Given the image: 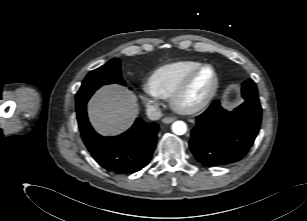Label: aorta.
Wrapping results in <instances>:
<instances>
[{
  "mask_svg": "<svg viewBox=\"0 0 307 221\" xmlns=\"http://www.w3.org/2000/svg\"><path fill=\"white\" fill-rule=\"evenodd\" d=\"M172 131L173 133H175L176 135H183L186 133L187 131V125L185 122L183 121H175L172 124Z\"/></svg>",
  "mask_w": 307,
  "mask_h": 221,
  "instance_id": "aorta-1",
  "label": "aorta"
}]
</instances>
